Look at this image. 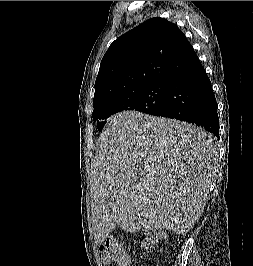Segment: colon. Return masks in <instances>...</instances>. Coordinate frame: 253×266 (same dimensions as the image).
Masks as SVG:
<instances>
[{
  "instance_id": "1",
  "label": "colon",
  "mask_w": 253,
  "mask_h": 266,
  "mask_svg": "<svg viewBox=\"0 0 253 266\" xmlns=\"http://www.w3.org/2000/svg\"><path fill=\"white\" fill-rule=\"evenodd\" d=\"M102 262L106 266H130L131 259L116 238H107L100 246Z\"/></svg>"
}]
</instances>
